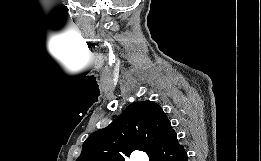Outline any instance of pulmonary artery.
Segmentation results:
<instances>
[{"instance_id":"e3ab8cb5","label":"pulmonary artery","mask_w":261,"mask_h":161,"mask_svg":"<svg viewBox=\"0 0 261 161\" xmlns=\"http://www.w3.org/2000/svg\"><path fill=\"white\" fill-rule=\"evenodd\" d=\"M138 161H148L146 156H141L138 158Z\"/></svg>"}]
</instances>
